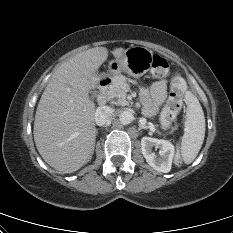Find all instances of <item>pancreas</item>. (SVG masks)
<instances>
[{
	"mask_svg": "<svg viewBox=\"0 0 233 233\" xmlns=\"http://www.w3.org/2000/svg\"><path fill=\"white\" fill-rule=\"evenodd\" d=\"M129 82H134L125 76L116 77L112 88L109 91V95L112 98L117 99V104L126 106L129 102L126 100L127 94L125 88L128 86Z\"/></svg>",
	"mask_w": 233,
	"mask_h": 233,
	"instance_id": "1",
	"label": "pancreas"
}]
</instances>
